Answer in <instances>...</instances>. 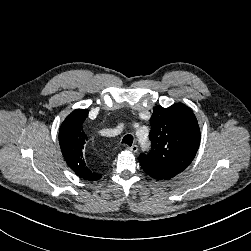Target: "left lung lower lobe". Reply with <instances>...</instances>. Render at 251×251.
<instances>
[{"mask_svg":"<svg viewBox=\"0 0 251 251\" xmlns=\"http://www.w3.org/2000/svg\"><path fill=\"white\" fill-rule=\"evenodd\" d=\"M141 167L149 176L157 180H168L177 175L171 172L158 171L145 165H141Z\"/></svg>","mask_w":251,"mask_h":251,"instance_id":"left-lung-lower-lobe-1","label":"left lung lower lobe"}]
</instances>
